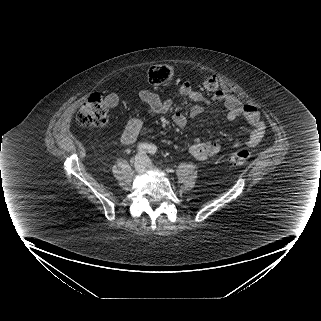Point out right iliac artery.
Masks as SVG:
<instances>
[{
	"label": "right iliac artery",
	"mask_w": 321,
	"mask_h": 321,
	"mask_svg": "<svg viewBox=\"0 0 321 321\" xmlns=\"http://www.w3.org/2000/svg\"><path fill=\"white\" fill-rule=\"evenodd\" d=\"M151 146L147 143H141L137 146V149L141 152H147L149 151Z\"/></svg>",
	"instance_id": "right-iliac-artery-1"
}]
</instances>
